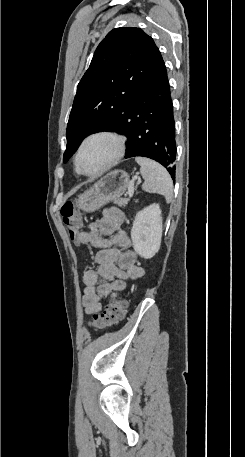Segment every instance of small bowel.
Returning a JSON list of instances; mask_svg holds the SVG:
<instances>
[{
  "instance_id": "1",
  "label": "small bowel",
  "mask_w": 245,
  "mask_h": 457,
  "mask_svg": "<svg viewBox=\"0 0 245 457\" xmlns=\"http://www.w3.org/2000/svg\"><path fill=\"white\" fill-rule=\"evenodd\" d=\"M125 217L121 210L110 207L92 222L88 230H82L77 244H90L99 251L95 256L97 270L87 268L83 272L82 305L88 314L98 313L104 300L115 298L124 291L127 281L144 276V269L137 264V254L123 229Z\"/></svg>"
}]
</instances>
